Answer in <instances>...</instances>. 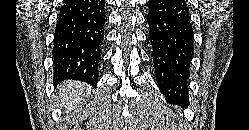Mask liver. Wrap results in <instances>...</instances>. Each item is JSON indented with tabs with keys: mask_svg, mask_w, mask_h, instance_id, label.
<instances>
[{
	"mask_svg": "<svg viewBox=\"0 0 249 130\" xmlns=\"http://www.w3.org/2000/svg\"><path fill=\"white\" fill-rule=\"evenodd\" d=\"M85 92V86L73 81L61 84L59 88L60 106L68 110H73L81 101Z\"/></svg>",
	"mask_w": 249,
	"mask_h": 130,
	"instance_id": "liver-1",
	"label": "liver"
}]
</instances>
